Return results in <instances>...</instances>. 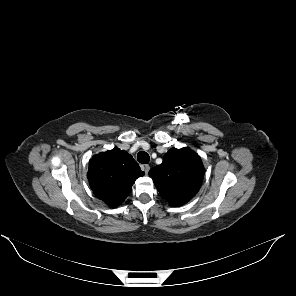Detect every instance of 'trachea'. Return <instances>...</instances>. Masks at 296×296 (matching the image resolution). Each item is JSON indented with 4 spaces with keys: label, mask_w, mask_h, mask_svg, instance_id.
I'll return each instance as SVG.
<instances>
[{
    "label": "trachea",
    "mask_w": 296,
    "mask_h": 296,
    "mask_svg": "<svg viewBox=\"0 0 296 296\" xmlns=\"http://www.w3.org/2000/svg\"><path fill=\"white\" fill-rule=\"evenodd\" d=\"M137 160H138V162H140L142 164H148L150 157H149L148 153H146L145 151H140L137 154Z\"/></svg>",
    "instance_id": "obj_1"
}]
</instances>
